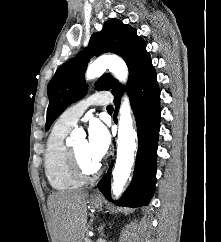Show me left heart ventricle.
Returning a JSON list of instances; mask_svg holds the SVG:
<instances>
[{
	"label": "left heart ventricle",
	"instance_id": "left-heart-ventricle-1",
	"mask_svg": "<svg viewBox=\"0 0 221 242\" xmlns=\"http://www.w3.org/2000/svg\"><path fill=\"white\" fill-rule=\"evenodd\" d=\"M72 148L75 150L80 161L86 168L91 169L97 164V162L94 161L88 153V147H87L86 140L78 141Z\"/></svg>",
	"mask_w": 221,
	"mask_h": 242
}]
</instances>
